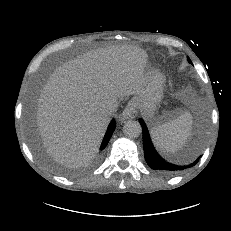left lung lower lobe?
Masks as SVG:
<instances>
[{"instance_id":"obj_1","label":"left lung lower lobe","mask_w":231,"mask_h":231,"mask_svg":"<svg viewBox=\"0 0 231 231\" xmlns=\"http://www.w3.org/2000/svg\"><path fill=\"white\" fill-rule=\"evenodd\" d=\"M140 124L143 127V148L145 160L152 169L164 174L172 175L194 166L200 159V157H198V159L190 165H179L165 161L158 155V153L154 149L144 121L140 120Z\"/></svg>"}]
</instances>
